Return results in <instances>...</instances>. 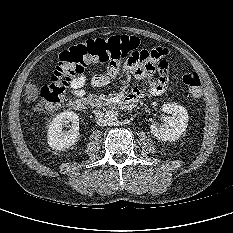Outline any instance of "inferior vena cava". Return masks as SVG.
Segmentation results:
<instances>
[{
  "instance_id": "obj_1",
  "label": "inferior vena cava",
  "mask_w": 233,
  "mask_h": 233,
  "mask_svg": "<svg viewBox=\"0 0 233 233\" xmlns=\"http://www.w3.org/2000/svg\"><path fill=\"white\" fill-rule=\"evenodd\" d=\"M95 120L99 126H105L108 123L107 118H106V114L102 111H97L95 113Z\"/></svg>"
}]
</instances>
